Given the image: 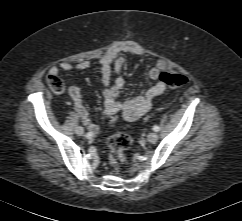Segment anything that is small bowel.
<instances>
[{
	"label": "small bowel",
	"mask_w": 242,
	"mask_h": 221,
	"mask_svg": "<svg viewBox=\"0 0 242 221\" xmlns=\"http://www.w3.org/2000/svg\"><path fill=\"white\" fill-rule=\"evenodd\" d=\"M123 53L142 56L145 54V51L136 43L120 42L100 57L99 64L104 87V115L110 117L119 114L126 121H135L150 110L153 99L161 95L165 91L166 86L159 80L160 70L153 67L147 72V79L154 82L152 86L141 95L123 100L119 99L120 91L125 84L124 78L120 75L125 64ZM89 66L90 62L87 60H81L76 63L61 62L58 67L54 66L50 69V74L58 75L60 70L81 71ZM113 73H115V78L112 81ZM68 93L82 123L91 133L96 134L99 131V127L91 120L84 106L80 89L72 86L69 88Z\"/></svg>",
	"instance_id": "c3829d8e"
}]
</instances>
